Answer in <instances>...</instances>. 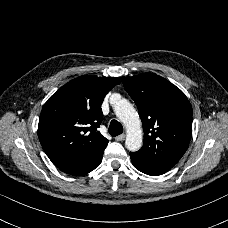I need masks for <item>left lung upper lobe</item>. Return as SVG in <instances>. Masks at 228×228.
Segmentation results:
<instances>
[{"label":"left lung upper lobe","instance_id":"left-lung-upper-lobe-1","mask_svg":"<svg viewBox=\"0 0 228 228\" xmlns=\"http://www.w3.org/2000/svg\"><path fill=\"white\" fill-rule=\"evenodd\" d=\"M137 105L144 143L130 154L149 165L172 168L184 155L192 135V107L184 93L153 73L121 78Z\"/></svg>","mask_w":228,"mask_h":228}]
</instances>
